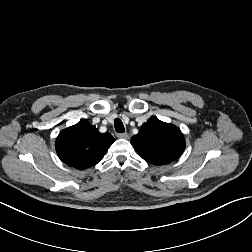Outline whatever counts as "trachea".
<instances>
[{
  "instance_id": "trachea-1",
  "label": "trachea",
  "mask_w": 252,
  "mask_h": 252,
  "mask_svg": "<svg viewBox=\"0 0 252 252\" xmlns=\"http://www.w3.org/2000/svg\"><path fill=\"white\" fill-rule=\"evenodd\" d=\"M114 126H115L116 132H118V133H124L125 132V128H124V125H123V122L121 121V119L116 118L114 120Z\"/></svg>"
}]
</instances>
